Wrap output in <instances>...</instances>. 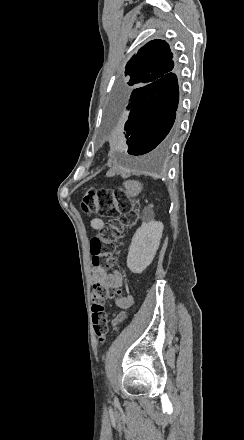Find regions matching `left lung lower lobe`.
<instances>
[{
	"label": "left lung lower lobe",
	"mask_w": 244,
	"mask_h": 440,
	"mask_svg": "<svg viewBox=\"0 0 244 440\" xmlns=\"http://www.w3.org/2000/svg\"><path fill=\"white\" fill-rule=\"evenodd\" d=\"M178 100L177 77L171 71L148 85L119 95L115 114L125 122L129 154L167 149L176 133L173 125Z\"/></svg>",
	"instance_id": "obj_1"
}]
</instances>
